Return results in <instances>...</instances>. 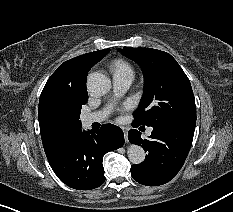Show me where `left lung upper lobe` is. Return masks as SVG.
<instances>
[{
	"mask_svg": "<svg viewBox=\"0 0 233 212\" xmlns=\"http://www.w3.org/2000/svg\"><path fill=\"white\" fill-rule=\"evenodd\" d=\"M145 75L144 95L134 112L135 126L172 124L195 128L196 106L190 81L168 53L151 48L124 47Z\"/></svg>",
	"mask_w": 233,
	"mask_h": 212,
	"instance_id": "5c2ea615",
	"label": "left lung upper lobe"
}]
</instances>
